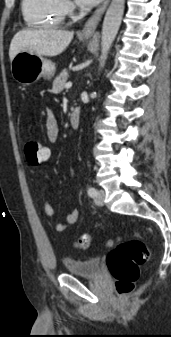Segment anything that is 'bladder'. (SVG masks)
I'll list each match as a JSON object with an SVG mask.
<instances>
[{
    "label": "bladder",
    "instance_id": "obj_1",
    "mask_svg": "<svg viewBox=\"0 0 171 337\" xmlns=\"http://www.w3.org/2000/svg\"><path fill=\"white\" fill-rule=\"evenodd\" d=\"M64 268L69 274L88 278H96L102 272L101 260L98 258H65Z\"/></svg>",
    "mask_w": 171,
    "mask_h": 337
}]
</instances>
